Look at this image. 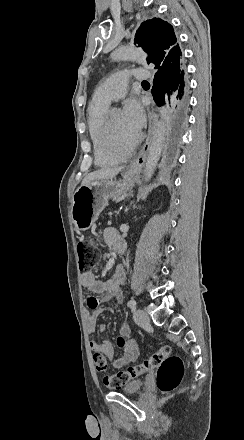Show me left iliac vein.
Masks as SVG:
<instances>
[{"instance_id": "4c4485c4", "label": "left iliac vein", "mask_w": 244, "mask_h": 440, "mask_svg": "<svg viewBox=\"0 0 244 440\" xmlns=\"http://www.w3.org/2000/svg\"><path fill=\"white\" fill-rule=\"evenodd\" d=\"M133 318H134V321L138 325H145V324H148L150 322V317L148 316V314H147V312L145 310L137 309L134 312Z\"/></svg>"}]
</instances>
